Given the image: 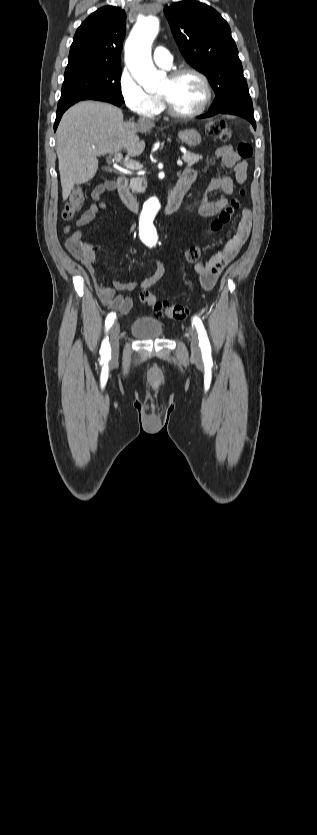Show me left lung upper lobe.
I'll use <instances>...</instances> for the list:
<instances>
[{
  "instance_id": "left-lung-upper-lobe-1",
  "label": "left lung upper lobe",
  "mask_w": 317,
  "mask_h": 835,
  "mask_svg": "<svg viewBox=\"0 0 317 835\" xmlns=\"http://www.w3.org/2000/svg\"><path fill=\"white\" fill-rule=\"evenodd\" d=\"M164 12L182 55L210 80L216 94L212 108L253 110L236 44L221 15L193 0L166 6Z\"/></svg>"
}]
</instances>
